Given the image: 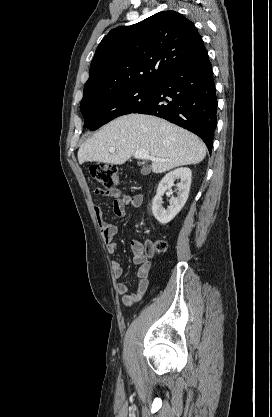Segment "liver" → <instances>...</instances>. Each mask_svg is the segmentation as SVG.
I'll list each match as a JSON object with an SVG mask.
<instances>
[{"label": "liver", "mask_w": 272, "mask_h": 417, "mask_svg": "<svg viewBox=\"0 0 272 417\" xmlns=\"http://www.w3.org/2000/svg\"><path fill=\"white\" fill-rule=\"evenodd\" d=\"M111 148L115 149L113 153ZM143 149L159 159L152 162L154 173L198 164L206 156L204 143L189 131L155 116L129 114L109 122L87 139L78 150V161L122 165Z\"/></svg>", "instance_id": "1"}]
</instances>
